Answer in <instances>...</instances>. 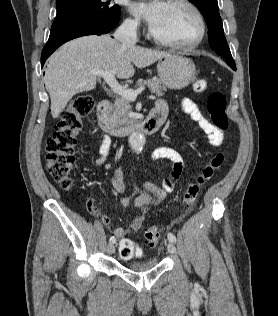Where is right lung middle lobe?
I'll return each mask as SVG.
<instances>
[{
	"label": "right lung middle lobe",
	"mask_w": 278,
	"mask_h": 316,
	"mask_svg": "<svg viewBox=\"0 0 278 316\" xmlns=\"http://www.w3.org/2000/svg\"><path fill=\"white\" fill-rule=\"evenodd\" d=\"M57 15L52 28L93 19H110L120 15V7L108 0H57Z\"/></svg>",
	"instance_id": "right-lung-middle-lobe-1"
}]
</instances>
